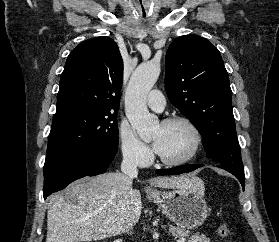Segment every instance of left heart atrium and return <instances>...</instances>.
<instances>
[{
  "mask_svg": "<svg viewBox=\"0 0 279 242\" xmlns=\"http://www.w3.org/2000/svg\"><path fill=\"white\" fill-rule=\"evenodd\" d=\"M154 148H155V150L158 152V150H159V145H158V143L154 142Z\"/></svg>",
  "mask_w": 279,
  "mask_h": 242,
  "instance_id": "1",
  "label": "left heart atrium"
}]
</instances>
